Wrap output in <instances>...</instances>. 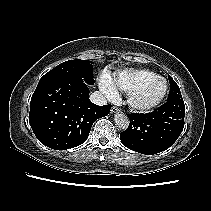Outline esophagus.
Returning <instances> with one entry per match:
<instances>
[{"label":"esophagus","instance_id":"34e87169","mask_svg":"<svg viewBox=\"0 0 211 211\" xmlns=\"http://www.w3.org/2000/svg\"><path fill=\"white\" fill-rule=\"evenodd\" d=\"M118 112H120V109H119L118 107L113 106V107L111 108V113H118Z\"/></svg>","mask_w":211,"mask_h":211}]
</instances>
